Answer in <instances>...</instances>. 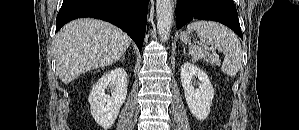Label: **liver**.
Returning a JSON list of instances; mask_svg holds the SVG:
<instances>
[{
	"instance_id": "1",
	"label": "liver",
	"mask_w": 299,
	"mask_h": 130,
	"mask_svg": "<svg viewBox=\"0 0 299 130\" xmlns=\"http://www.w3.org/2000/svg\"><path fill=\"white\" fill-rule=\"evenodd\" d=\"M131 38L116 26L95 19L66 24L54 40V56L60 80L68 84L84 72L118 61Z\"/></svg>"
}]
</instances>
